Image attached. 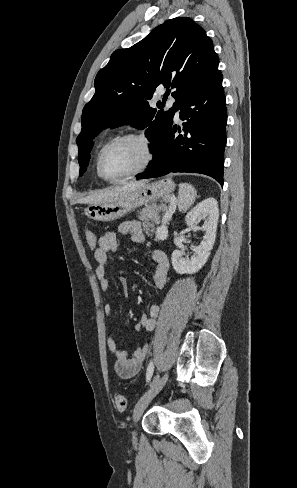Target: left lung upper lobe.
Masks as SVG:
<instances>
[{
	"label": "left lung upper lobe",
	"instance_id": "5c2ea615",
	"mask_svg": "<svg viewBox=\"0 0 297 488\" xmlns=\"http://www.w3.org/2000/svg\"><path fill=\"white\" fill-rule=\"evenodd\" d=\"M218 64L212 40L189 17L170 19L134 46L113 52L96 75L95 94L82 112V131L76 139L80 175L87 169L92 139L105 128L124 124L146 128L157 154L176 109L216 76ZM162 85L167 89L163 101L169 89L176 100L166 112L148 102Z\"/></svg>",
	"mask_w": 297,
	"mask_h": 488
}]
</instances>
